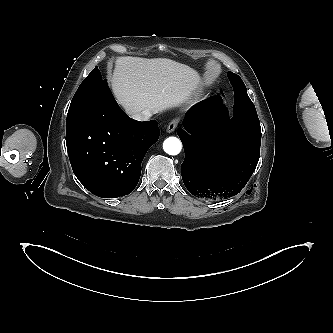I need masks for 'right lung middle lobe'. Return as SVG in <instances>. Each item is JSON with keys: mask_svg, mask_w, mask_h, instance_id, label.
Returning <instances> with one entry per match:
<instances>
[{"mask_svg": "<svg viewBox=\"0 0 333 333\" xmlns=\"http://www.w3.org/2000/svg\"><path fill=\"white\" fill-rule=\"evenodd\" d=\"M106 85V79L102 80L98 67H95L76 91L69 107L67 122L84 112L98 91Z\"/></svg>", "mask_w": 333, "mask_h": 333, "instance_id": "obj_1", "label": "right lung middle lobe"}]
</instances>
